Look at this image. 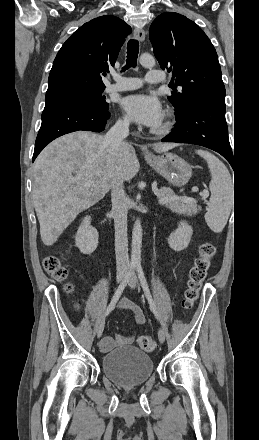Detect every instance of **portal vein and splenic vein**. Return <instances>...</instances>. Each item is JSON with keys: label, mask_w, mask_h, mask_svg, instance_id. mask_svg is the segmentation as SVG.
<instances>
[{"label": "portal vein and splenic vein", "mask_w": 259, "mask_h": 440, "mask_svg": "<svg viewBox=\"0 0 259 440\" xmlns=\"http://www.w3.org/2000/svg\"><path fill=\"white\" fill-rule=\"evenodd\" d=\"M192 191L193 192H198V188L194 187L192 189ZM156 195L159 196V203L161 205H164L167 202L172 201V200H176V199L182 200V201H186V202H193V201H195L193 198L186 197V196H182V197H178V196L165 197V196H163L160 193H156ZM201 195H202L203 199H206L209 196V192L208 191H203Z\"/></svg>", "instance_id": "18ae733b"}]
</instances>
